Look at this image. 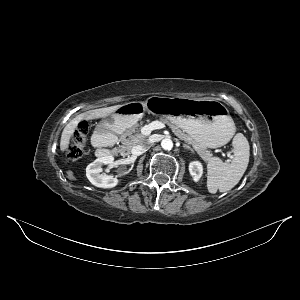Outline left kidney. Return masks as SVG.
<instances>
[{"label":"left kidney","instance_id":"1","mask_svg":"<svg viewBox=\"0 0 300 300\" xmlns=\"http://www.w3.org/2000/svg\"><path fill=\"white\" fill-rule=\"evenodd\" d=\"M189 172L194 181H198L203 174V166L199 161H193L189 164Z\"/></svg>","mask_w":300,"mask_h":300}]
</instances>
